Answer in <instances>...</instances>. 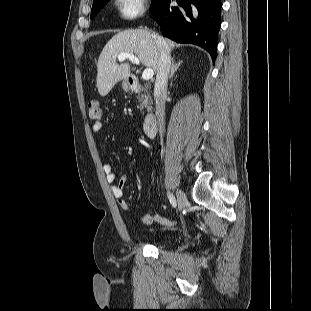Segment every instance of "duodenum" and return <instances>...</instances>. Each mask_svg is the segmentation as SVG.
Instances as JSON below:
<instances>
[{"mask_svg": "<svg viewBox=\"0 0 311 311\" xmlns=\"http://www.w3.org/2000/svg\"><path fill=\"white\" fill-rule=\"evenodd\" d=\"M129 84L133 90L139 89V82L136 78H130ZM157 116L153 111H150L144 120L143 131L144 134L151 138L155 135L157 129Z\"/></svg>", "mask_w": 311, "mask_h": 311, "instance_id": "obj_1", "label": "duodenum"}]
</instances>
